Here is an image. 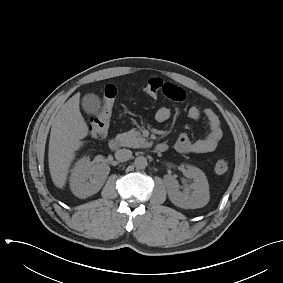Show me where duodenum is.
<instances>
[{
	"label": "duodenum",
	"mask_w": 283,
	"mask_h": 283,
	"mask_svg": "<svg viewBox=\"0 0 283 283\" xmlns=\"http://www.w3.org/2000/svg\"><path fill=\"white\" fill-rule=\"evenodd\" d=\"M121 147V141L118 138H113L109 141V148L112 151L118 150ZM168 146L165 143H158L155 147L157 152H165Z\"/></svg>",
	"instance_id": "1"
}]
</instances>
